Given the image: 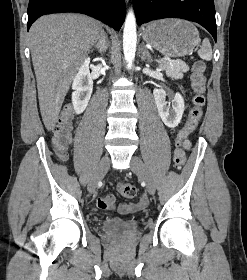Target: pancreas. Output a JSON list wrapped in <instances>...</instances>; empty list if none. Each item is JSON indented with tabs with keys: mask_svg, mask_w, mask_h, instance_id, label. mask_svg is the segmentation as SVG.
Instances as JSON below:
<instances>
[{
	"mask_svg": "<svg viewBox=\"0 0 247 280\" xmlns=\"http://www.w3.org/2000/svg\"><path fill=\"white\" fill-rule=\"evenodd\" d=\"M160 68L173 79H182L183 74L189 70L188 65L180 60L166 61L160 65Z\"/></svg>",
	"mask_w": 247,
	"mask_h": 280,
	"instance_id": "pancreas-1",
	"label": "pancreas"
}]
</instances>
